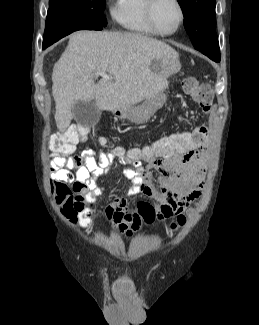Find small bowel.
<instances>
[{
  "label": "small bowel",
  "mask_w": 259,
  "mask_h": 325,
  "mask_svg": "<svg viewBox=\"0 0 259 325\" xmlns=\"http://www.w3.org/2000/svg\"><path fill=\"white\" fill-rule=\"evenodd\" d=\"M199 143V149H171L150 159L135 158L131 150L123 149L99 153L85 149L69 159L53 155L50 176L62 213L72 221L78 217L82 227L92 228L94 212L86 204L93 205L103 194L99 179L110 177L116 163L124 166L123 174L131 181L126 195L116 197L105 211L116 231L131 236L139 228V216L128 207V198L136 195L152 198L160 219L183 211L199 197L204 184L206 139Z\"/></svg>",
  "instance_id": "obj_1"
}]
</instances>
